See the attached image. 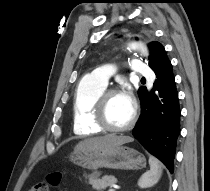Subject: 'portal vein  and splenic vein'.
<instances>
[{"label":"portal vein and splenic vein","mask_w":210,"mask_h":191,"mask_svg":"<svg viewBox=\"0 0 210 191\" xmlns=\"http://www.w3.org/2000/svg\"><path fill=\"white\" fill-rule=\"evenodd\" d=\"M108 191H115V189L113 188V186H111V188Z\"/></svg>","instance_id":"18ae733b"}]
</instances>
